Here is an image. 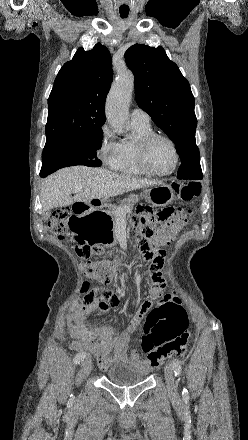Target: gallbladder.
Here are the masks:
<instances>
[{
	"label": "gallbladder",
	"mask_w": 248,
	"mask_h": 440,
	"mask_svg": "<svg viewBox=\"0 0 248 440\" xmlns=\"http://www.w3.org/2000/svg\"><path fill=\"white\" fill-rule=\"evenodd\" d=\"M50 215H51V210H48V211L46 212L44 218L47 220V219L50 217Z\"/></svg>",
	"instance_id": "bac80fb5"
}]
</instances>
